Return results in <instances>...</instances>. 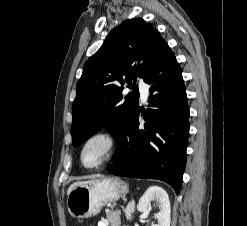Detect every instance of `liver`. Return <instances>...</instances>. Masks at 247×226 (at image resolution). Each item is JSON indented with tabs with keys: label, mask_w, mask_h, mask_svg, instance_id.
Instances as JSON below:
<instances>
[{
	"label": "liver",
	"mask_w": 247,
	"mask_h": 226,
	"mask_svg": "<svg viewBox=\"0 0 247 226\" xmlns=\"http://www.w3.org/2000/svg\"><path fill=\"white\" fill-rule=\"evenodd\" d=\"M80 183H83V182H75V183H73L72 185H70V187L68 188L67 194L70 193V191L73 189L74 186H76V185H78V184H80Z\"/></svg>",
	"instance_id": "6515ba94"
}]
</instances>
